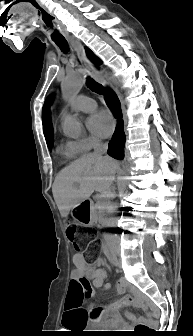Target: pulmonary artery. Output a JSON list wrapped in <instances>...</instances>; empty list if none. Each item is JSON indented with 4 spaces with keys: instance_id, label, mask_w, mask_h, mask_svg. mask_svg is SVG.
<instances>
[{
    "instance_id": "1",
    "label": "pulmonary artery",
    "mask_w": 193,
    "mask_h": 336,
    "mask_svg": "<svg viewBox=\"0 0 193 336\" xmlns=\"http://www.w3.org/2000/svg\"><path fill=\"white\" fill-rule=\"evenodd\" d=\"M73 111L92 112L96 108V102L84 95H80L71 103Z\"/></svg>"
}]
</instances>
